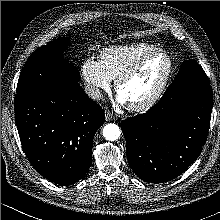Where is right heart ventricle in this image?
Wrapping results in <instances>:
<instances>
[{"mask_svg":"<svg viewBox=\"0 0 220 220\" xmlns=\"http://www.w3.org/2000/svg\"><path fill=\"white\" fill-rule=\"evenodd\" d=\"M156 48L152 44L143 42L113 45L101 51L99 62L107 75L111 79H116L140 57Z\"/></svg>","mask_w":220,"mask_h":220,"instance_id":"e07e8e85","label":"right heart ventricle"}]
</instances>
